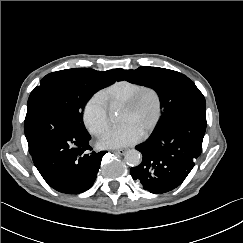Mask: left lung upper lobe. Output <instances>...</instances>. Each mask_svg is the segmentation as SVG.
<instances>
[{"label":"left lung upper lobe","mask_w":243,"mask_h":243,"mask_svg":"<svg viewBox=\"0 0 243 243\" xmlns=\"http://www.w3.org/2000/svg\"><path fill=\"white\" fill-rule=\"evenodd\" d=\"M118 80L144 85L158 93L162 116L153 133L161 130L172 116L185 107L205 102L203 94L194 82L173 70L142 66L136 70L124 71Z\"/></svg>","instance_id":"obj_1"}]
</instances>
